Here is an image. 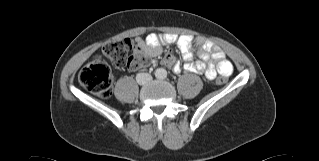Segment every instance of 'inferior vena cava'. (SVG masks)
I'll use <instances>...</instances> for the list:
<instances>
[{"label":"inferior vena cava","instance_id":"602c4592","mask_svg":"<svg viewBox=\"0 0 319 161\" xmlns=\"http://www.w3.org/2000/svg\"><path fill=\"white\" fill-rule=\"evenodd\" d=\"M152 80V76L148 73H138L136 75V81L140 85H144Z\"/></svg>","mask_w":319,"mask_h":161}]
</instances>
